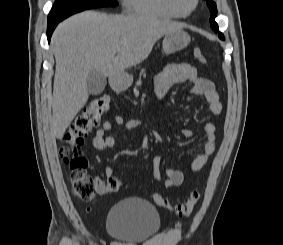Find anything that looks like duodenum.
Here are the masks:
<instances>
[{"label": "duodenum", "mask_w": 283, "mask_h": 245, "mask_svg": "<svg viewBox=\"0 0 283 245\" xmlns=\"http://www.w3.org/2000/svg\"><path fill=\"white\" fill-rule=\"evenodd\" d=\"M113 86L117 90H122L124 88V80L121 77H116L113 80Z\"/></svg>", "instance_id": "410a0bca"}]
</instances>
